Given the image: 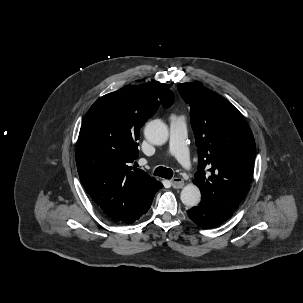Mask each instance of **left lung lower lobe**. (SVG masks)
Returning <instances> with one entry per match:
<instances>
[{"mask_svg": "<svg viewBox=\"0 0 303 303\" xmlns=\"http://www.w3.org/2000/svg\"><path fill=\"white\" fill-rule=\"evenodd\" d=\"M233 212L220 201L203 196L201 203L188 210L187 214L194 223L207 229L222 224Z\"/></svg>", "mask_w": 303, "mask_h": 303, "instance_id": "0a47b994", "label": "left lung lower lobe"}]
</instances>
